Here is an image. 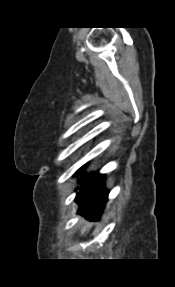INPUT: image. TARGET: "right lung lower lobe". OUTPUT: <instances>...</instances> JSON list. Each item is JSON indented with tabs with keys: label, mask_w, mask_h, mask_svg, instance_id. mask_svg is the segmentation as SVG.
<instances>
[{
	"label": "right lung lower lobe",
	"mask_w": 175,
	"mask_h": 287,
	"mask_svg": "<svg viewBox=\"0 0 175 287\" xmlns=\"http://www.w3.org/2000/svg\"><path fill=\"white\" fill-rule=\"evenodd\" d=\"M80 170H83V167ZM104 180L105 176L96 172L82 177L79 181L80 192L76 196V201L80 204L78 213L90 220L98 219L108 200L109 191L104 189Z\"/></svg>",
	"instance_id": "1"
}]
</instances>
